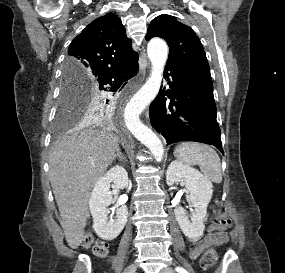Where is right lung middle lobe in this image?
I'll use <instances>...</instances> for the list:
<instances>
[{
    "mask_svg": "<svg viewBox=\"0 0 285 273\" xmlns=\"http://www.w3.org/2000/svg\"><path fill=\"white\" fill-rule=\"evenodd\" d=\"M98 90L91 83L82 81L64 70L56 126L63 128L81 119L100 118L107 100L105 103L98 95Z\"/></svg>",
    "mask_w": 285,
    "mask_h": 273,
    "instance_id": "obj_1",
    "label": "right lung middle lobe"
}]
</instances>
